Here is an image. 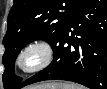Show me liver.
I'll return each instance as SVG.
<instances>
[{
	"label": "liver",
	"mask_w": 107,
	"mask_h": 89,
	"mask_svg": "<svg viewBox=\"0 0 107 89\" xmlns=\"http://www.w3.org/2000/svg\"><path fill=\"white\" fill-rule=\"evenodd\" d=\"M62 84L60 83H47L43 85L33 86L35 89H61Z\"/></svg>",
	"instance_id": "1"
}]
</instances>
